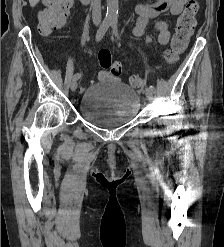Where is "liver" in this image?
<instances>
[{"mask_svg": "<svg viewBox=\"0 0 224 247\" xmlns=\"http://www.w3.org/2000/svg\"><path fill=\"white\" fill-rule=\"evenodd\" d=\"M38 2H40V0H29V4H30L31 8H34V6H36V4H38Z\"/></svg>", "mask_w": 224, "mask_h": 247, "instance_id": "1", "label": "liver"}]
</instances>
